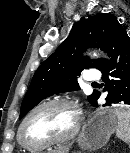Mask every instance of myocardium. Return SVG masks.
<instances>
[{"mask_svg":"<svg viewBox=\"0 0 130 153\" xmlns=\"http://www.w3.org/2000/svg\"><path fill=\"white\" fill-rule=\"evenodd\" d=\"M49 105H65V106L70 107L74 111L75 116H76V120H75V124H74L72 130L66 136L61 137V138L40 141V142H31V141L26 140V138L24 137V127H25L27 121L36 111H38L39 109H41L43 107L49 106ZM81 125H82V113H81V110H80L78 104L74 100L69 99V98H53V99H49V100H46V101L39 103L38 105H36L34 108H32L26 114V116L23 118V120L20 124L19 130H18V139H19L20 143L26 148L44 149L47 147L66 144V143L70 142L79 133Z\"/></svg>","mask_w":130,"mask_h":153,"instance_id":"1","label":"myocardium"}]
</instances>
